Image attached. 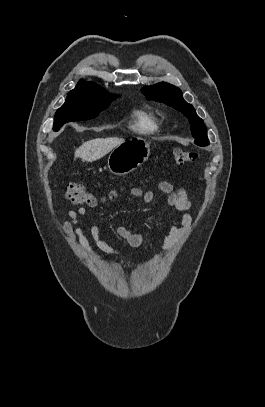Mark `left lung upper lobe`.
Masks as SVG:
<instances>
[{"mask_svg":"<svg viewBox=\"0 0 265 407\" xmlns=\"http://www.w3.org/2000/svg\"><path fill=\"white\" fill-rule=\"evenodd\" d=\"M147 99L164 102L167 105L182 112L191 124V132L195 138V143L199 146H207V129L203 120L196 114L192 105L183 99V94L177 87L161 82L153 86H147L142 89Z\"/></svg>","mask_w":265,"mask_h":407,"instance_id":"1","label":"left lung upper lobe"}]
</instances>
